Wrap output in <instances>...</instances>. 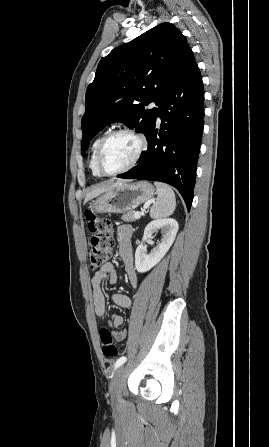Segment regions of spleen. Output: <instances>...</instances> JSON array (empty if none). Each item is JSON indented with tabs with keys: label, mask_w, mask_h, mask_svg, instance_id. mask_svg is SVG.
<instances>
[{
	"label": "spleen",
	"mask_w": 269,
	"mask_h": 447,
	"mask_svg": "<svg viewBox=\"0 0 269 447\" xmlns=\"http://www.w3.org/2000/svg\"><path fill=\"white\" fill-rule=\"evenodd\" d=\"M154 186L157 188V200L150 210V218H153V220L168 218L176 208L175 194L167 184L154 182Z\"/></svg>",
	"instance_id": "spleen-1"
}]
</instances>
